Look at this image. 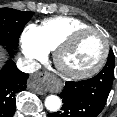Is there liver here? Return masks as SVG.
Instances as JSON below:
<instances>
[{"mask_svg":"<svg viewBox=\"0 0 117 117\" xmlns=\"http://www.w3.org/2000/svg\"><path fill=\"white\" fill-rule=\"evenodd\" d=\"M0 61H1V53H0Z\"/></svg>","mask_w":117,"mask_h":117,"instance_id":"obj_1","label":"liver"}]
</instances>
